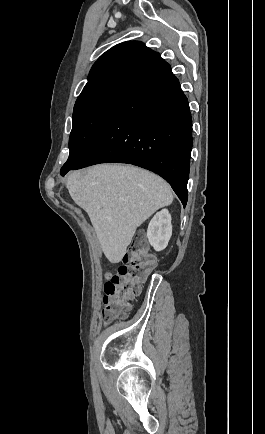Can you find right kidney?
<instances>
[{
	"instance_id": "1",
	"label": "right kidney",
	"mask_w": 265,
	"mask_h": 434,
	"mask_svg": "<svg viewBox=\"0 0 265 434\" xmlns=\"http://www.w3.org/2000/svg\"><path fill=\"white\" fill-rule=\"evenodd\" d=\"M171 236V216L168 210H161V212L155 214L148 226L147 238L149 244L153 246L156 252H161V250L167 248Z\"/></svg>"
}]
</instances>
